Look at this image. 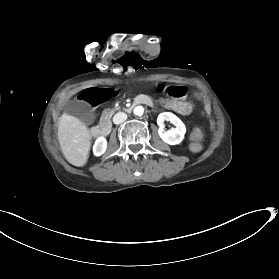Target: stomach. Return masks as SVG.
<instances>
[{
	"mask_svg": "<svg viewBox=\"0 0 279 279\" xmlns=\"http://www.w3.org/2000/svg\"><path fill=\"white\" fill-rule=\"evenodd\" d=\"M161 105L165 109L172 107L174 111H181L183 113L193 114L195 112V106L193 104H189L182 100H176L173 102L171 99L165 98L162 100Z\"/></svg>",
	"mask_w": 279,
	"mask_h": 279,
	"instance_id": "stomach-1",
	"label": "stomach"
}]
</instances>
